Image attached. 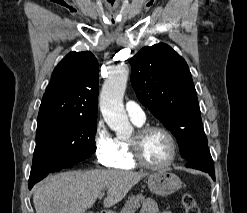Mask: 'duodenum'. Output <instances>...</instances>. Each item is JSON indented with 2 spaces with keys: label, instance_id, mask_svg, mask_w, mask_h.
<instances>
[{
  "label": "duodenum",
  "instance_id": "410a0bca",
  "mask_svg": "<svg viewBox=\"0 0 247 213\" xmlns=\"http://www.w3.org/2000/svg\"><path fill=\"white\" fill-rule=\"evenodd\" d=\"M99 213H112V212H110V211H101Z\"/></svg>",
  "mask_w": 247,
  "mask_h": 213
}]
</instances>
